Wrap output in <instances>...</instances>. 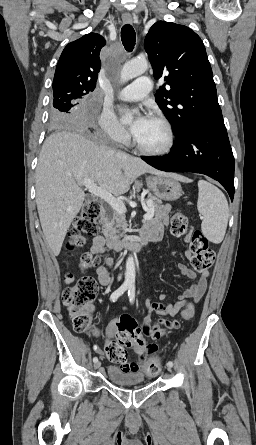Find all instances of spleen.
Here are the masks:
<instances>
[{
  "label": "spleen",
  "mask_w": 256,
  "mask_h": 445,
  "mask_svg": "<svg viewBox=\"0 0 256 445\" xmlns=\"http://www.w3.org/2000/svg\"><path fill=\"white\" fill-rule=\"evenodd\" d=\"M197 208L203 216L201 229L205 237L218 244L222 242L229 218L228 202L225 195L213 184L198 181Z\"/></svg>",
  "instance_id": "3e777b00"
}]
</instances>
